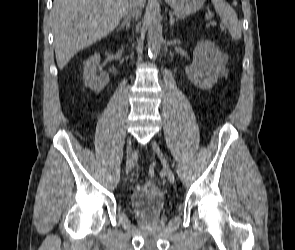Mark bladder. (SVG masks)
Wrapping results in <instances>:
<instances>
[{"mask_svg":"<svg viewBox=\"0 0 295 250\" xmlns=\"http://www.w3.org/2000/svg\"><path fill=\"white\" fill-rule=\"evenodd\" d=\"M130 206L137 216L154 218L164 210V194L154 181H144L132 191Z\"/></svg>","mask_w":295,"mask_h":250,"instance_id":"1","label":"bladder"}]
</instances>
